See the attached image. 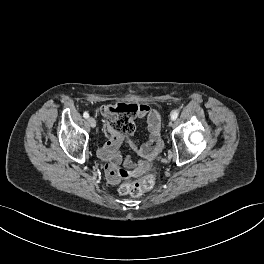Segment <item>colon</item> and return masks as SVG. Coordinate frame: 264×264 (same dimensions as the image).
Segmentation results:
<instances>
[{"instance_id":"colon-1","label":"colon","mask_w":264,"mask_h":264,"mask_svg":"<svg viewBox=\"0 0 264 264\" xmlns=\"http://www.w3.org/2000/svg\"><path fill=\"white\" fill-rule=\"evenodd\" d=\"M107 124L113 133L119 135L131 134L135 129L134 118L137 113L135 104L120 103L117 105H109L102 110ZM108 131L106 134L108 135ZM136 179L131 182L123 183L119 191L122 194L132 196H140L153 188L155 179L152 175H141L139 171L134 172ZM123 176H127V172H123Z\"/></svg>"}]
</instances>
